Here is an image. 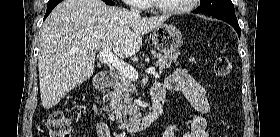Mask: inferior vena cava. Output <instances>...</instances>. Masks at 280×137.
I'll return each instance as SVG.
<instances>
[{
  "instance_id": "602c4592",
  "label": "inferior vena cava",
  "mask_w": 280,
  "mask_h": 137,
  "mask_svg": "<svg viewBox=\"0 0 280 137\" xmlns=\"http://www.w3.org/2000/svg\"><path fill=\"white\" fill-rule=\"evenodd\" d=\"M131 12L133 13V15L139 16V11L138 10L131 9Z\"/></svg>"
}]
</instances>
